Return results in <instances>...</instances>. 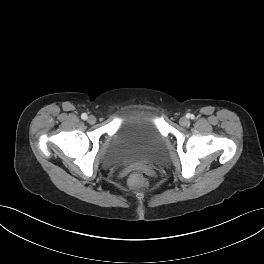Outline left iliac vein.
<instances>
[{
	"label": "left iliac vein",
	"mask_w": 264,
	"mask_h": 264,
	"mask_svg": "<svg viewBox=\"0 0 264 264\" xmlns=\"http://www.w3.org/2000/svg\"><path fill=\"white\" fill-rule=\"evenodd\" d=\"M180 124H181L182 126H188V125H189V120H188V118H186V117H182V118L180 119Z\"/></svg>",
	"instance_id": "4c4485c4"
}]
</instances>
